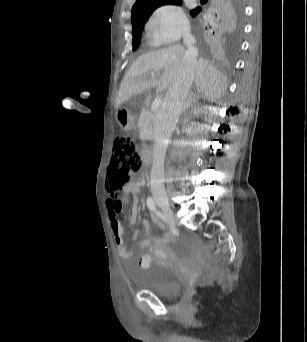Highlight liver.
Instances as JSON below:
<instances>
[{
	"mask_svg": "<svg viewBox=\"0 0 307 342\" xmlns=\"http://www.w3.org/2000/svg\"><path fill=\"white\" fill-rule=\"evenodd\" d=\"M185 54L183 46L166 44L164 50L147 52L133 62L131 68L126 72L118 90L116 108L130 100L132 96L142 94L150 88H157L158 92L167 90L176 80L177 72L181 68V60ZM162 74L159 80L150 78L145 80L146 74ZM194 82L197 90L204 94L208 100L214 102L224 96L227 90L226 76L213 68L207 60L199 58L196 66Z\"/></svg>",
	"mask_w": 307,
	"mask_h": 342,
	"instance_id": "liver-1",
	"label": "liver"
}]
</instances>
